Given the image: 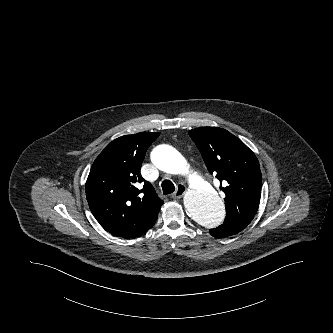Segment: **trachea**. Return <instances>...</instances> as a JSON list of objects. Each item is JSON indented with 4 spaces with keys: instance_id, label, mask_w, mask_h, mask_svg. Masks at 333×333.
<instances>
[{
    "instance_id": "3493384b",
    "label": "trachea",
    "mask_w": 333,
    "mask_h": 333,
    "mask_svg": "<svg viewBox=\"0 0 333 333\" xmlns=\"http://www.w3.org/2000/svg\"><path fill=\"white\" fill-rule=\"evenodd\" d=\"M161 186L164 195L171 194L175 191V186L170 180H164Z\"/></svg>"
}]
</instances>
